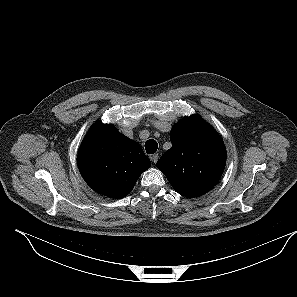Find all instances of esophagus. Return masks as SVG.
Returning <instances> with one entry per match:
<instances>
[{
    "label": "esophagus",
    "instance_id": "34e87169",
    "mask_svg": "<svg viewBox=\"0 0 297 297\" xmlns=\"http://www.w3.org/2000/svg\"><path fill=\"white\" fill-rule=\"evenodd\" d=\"M158 158H159V155H158V154H153V155L151 156V161H152L153 163H156L157 160H158Z\"/></svg>",
    "mask_w": 297,
    "mask_h": 297
}]
</instances>
